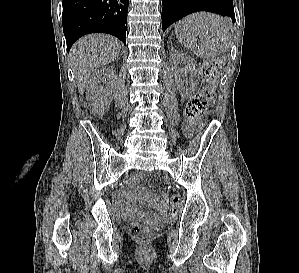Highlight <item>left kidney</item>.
Masks as SVG:
<instances>
[{"label": "left kidney", "instance_id": "5707ae66", "mask_svg": "<svg viewBox=\"0 0 299 273\" xmlns=\"http://www.w3.org/2000/svg\"><path fill=\"white\" fill-rule=\"evenodd\" d=\"M169 62L179 93L184 97H190L196 91L200 80V70L196 61L176 49H171ZM179 63H184L185 68L181 69ZM188 73H190L189 88L184 86V81L182 80Z\"/></svg>", "mask_w": 299, "mask_h": 273}]
</instances>
